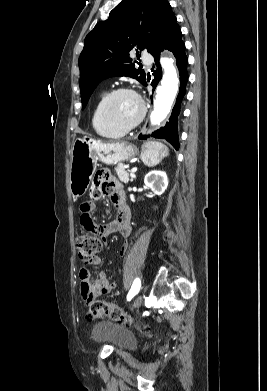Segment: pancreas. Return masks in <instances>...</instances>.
<instances>
[{"instance_id": "obj_1", "label": "pancreas", "mask_w": 267, "mask_h": 391, "mask_svg": "<svg viewBox=\"0 0 267 391\" xmlns=\"http://www.w3.org/2000/svg\"><path fill=\"white\" fill-rule=\"evenodd\" d=\"M115 171H116L117 176H118L120 181H122L124 183H128L129 182V173H128L129 170L128 171L126 170L125 165L119 164L115 168Z\"/></svg>"}]
</instances>
